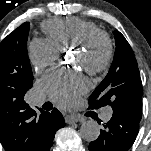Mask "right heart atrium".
<instances>
[{
	"label": "right heart atrium",
	"mask_w": 151,
	"mask_h": 151,
	"mask_svg": "<svg viewBox=\"0 0 151 151\" xmlns=\"http://www.w3.org/2000/svg\"><path fill=\"white\" fill-rule=\"evenodd\" d=\"M27 54L34 70L41 71L53 65L59 49L48 39L34 38L28 44Z\"/></svg>",
	"instance_id": "1"
}]
</instances>
